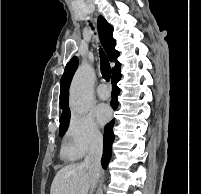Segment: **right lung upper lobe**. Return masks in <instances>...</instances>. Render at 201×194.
Returning a JSON list of instances; mask_svg holds the SVG:
<instances>
[{"label":"right lung upper lobe","mask_w":201,"mask_h":194,"mask_svg":"<svg viewBox=\"0 0 201 194\" xmlns=\"http://www.w3.org/2000/svg\"><path fill=\"white\" fill-rule=\"evenodd\" d=\"M98 31L101 42L107 52L109 60L111 62H115V66L112 69V73L120 70L121 64L117 61L119 56V52L115 50L116 41L113 39V27L106 21L103 16H99L98 18ZM78 66V59L77 57H73L66 65L64 74L62 75L61 82H60V105L61 109L63 110L62 116L60 119L69 117L70 110H69V103H68V96H69V86L72 80V77L77 69Z\"/></svg>","instance_id":"right-lung-upper-lobe-1"}]
</instances>
